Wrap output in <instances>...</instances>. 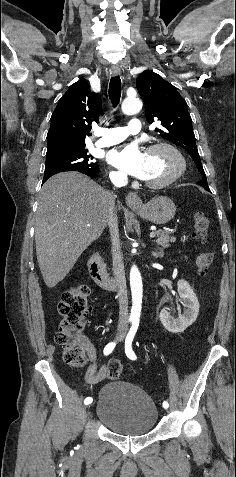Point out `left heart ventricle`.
Wrapping results in <instances>:
<instances>
[{"label": "left heart ventricle", "mask_w": 236, "mask_h": 477, "mask_svg": "<svg viewBox=\"0 0 236 477\" xmlns=\"http://www.w3.org/2000/svg\"><path fill=\"white\" fill-rule=\"evenodd\" d=\"M178 168L177 160L166 150L158 149L147 153L144 180L161 181L170 177Z\"/></svg>", "instance_id": "obj_1"}]
</instances>
